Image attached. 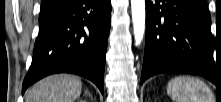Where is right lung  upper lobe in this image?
<instances>
[{"label": "right lung upper lobe", "mask_w": 221, "mask_h": 102, "mask_svg": "<svg viewBox=\"0 0 221 102\" xmlns=\"http://www.w3.org/2000/svg\"><path fill=\"white\" fill-rule=\"evenodd\" d=\"M66 0H42L40 11H52Z\"/></svg>", "instance_id": "cb5924a9"}]
</instances>
